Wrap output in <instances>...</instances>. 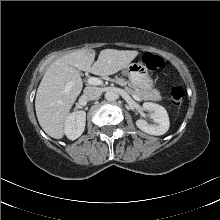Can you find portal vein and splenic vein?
Segmentation results:
<instances>
[{
  "label": "portal vein and splenic vein",
  "instance_id": "obj_1",
  "mask_svg": "<svg viewBox=\"0 0 220 220\" xmlns=\"http://www.w3.org/2000/svg\"><path fill=\"white\" fill-rule=\"evenodd\" d=\"M87 82H88V84H90V85H101V84L103 83L102 80H100V79H98V78H96V77H89V78L87 79ZM71 86H72V83H68V84L66 85L65 91H66V92L69 91L70 88H71ZM131 96H132L135 100H140V98H139L137 95H135V94H131Z\"/></svg>",
  "mask_w": 220,
  "mask_h": 220
}]
</instances>
